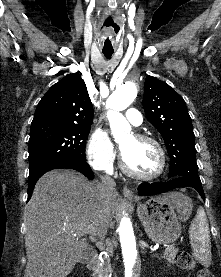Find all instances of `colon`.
<instances>
[{
    "mask_svg": "<svg viewBox=\"0 0 221 277\" xmlns=\"http://www.w3.org/2000/svg\"><path fill=\"white\" fill-rule=\"evenodd\" d=\"M176 263L181 269L184 270H193L196 266L193 257L185 251L177 254ZM197 277H215V275L209 270L202 269L198 272Z\"/></svg>",
    "mask_w": 221,
    "mask_h": 277,
    "instance_id": "5ec220e1",
    "label": "colon"
}]
</instances>
